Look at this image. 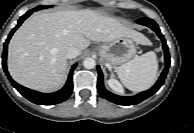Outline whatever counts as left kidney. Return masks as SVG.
Returning a JSON list of instances; mask_svg holds the SVG:
<instances>
[{"label":"left kidney","mask_w":194,"mask_h":133,"mask_svg":"<svg viewBox=\"0 0 194 133\" xmlns=\"http://www.w3.org/2000/svg\"><path fill=\"white\" fill-rule=\"evenodd\" d=\"M108 85L110 86V88L112 90H114L115 92H118V93H122L123 92V89H122V86L120 85V83L115 80V79H110L108 80Z\"/></svg>","instance_id":"left-kidney-1"}]
</instances>
